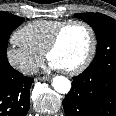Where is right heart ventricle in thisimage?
I'll return each instance as SVG.
<instances>
[{
	"label": "right heart ventricle",
	"instance_id": "right-heart-ventricle-1",
	"mask_svg": "<svg viewBox=\"0 0 116 116\" xmlns=\"http://www.w3.org/2000/svg\"><path fill=\"white\" fill-rule=\"evenodd\" d=\"M64 22L66 21L46 19L35 20L21 27L17 31L16 36L19 41L29 47L32 51L43 54L54 32Z\"/></svg>",
	"mask_w": 116,
	"mask_h": 116
}]
</instances>
